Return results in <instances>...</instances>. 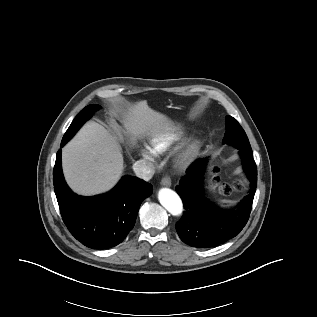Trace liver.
Instances as JSON below:
<instances>
[{
    "mask_svg": "<svg viewBox=\"0 0 317 317\" xmlns=\"http://www.w3.org/2000/svg\"><path fill=\"white\" fill-rule=\"evenodd\" d=\"M163 117L145 100L129 104L123 115L127 134L138 136L157 131ZM123 155L116 136L94 121L86 123L62 149V167L68 185L82 195L113 188L124 170Z\"/></svg>",
    "mask_w": 317,
    "mask_h": 317,
    "instance_id": "1",
    "label": "liver"
}]
</instances>
